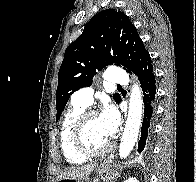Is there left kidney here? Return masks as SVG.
Masks as SVG:
<instances>
[{
  "label": "left kidney",
  "mask_w": 196,
  "mask_h": 182,
  "mask_svg": "<svg viewBox=\"0 0 196 182\" xmlns=\"http://www.w3.org/2000/svg\"><path fill=\"white\" fill-rule=\"evenodd\" d=\"M124 182H139L135 177H130L129 179L125 180Z\"/></svg>",
  "instance_id": "obj_1"
}]
</instances>
